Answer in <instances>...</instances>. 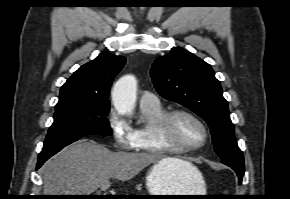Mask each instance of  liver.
I'll list each match as a JSON object with an SVG mask.
<instances>
[{
    "label": "liver",
    "mask_w": 290,
    "mask_h": 199,
    "mask_svg": "<svg viewBox=\"0 0 290 199\" xmlns=\"http://www.w3.org/2000/svg\"><path fill=\"white\" fill-rule=\"evenodd\" d=\"M163 162L173 171L196 169L190 162L152 153L112 152L93 140L65 147L42 167L44 195H90L110 178L127 181L143 168Z\"/></svg>",
    "instance_id": "liver-1"
}]
</instances>
